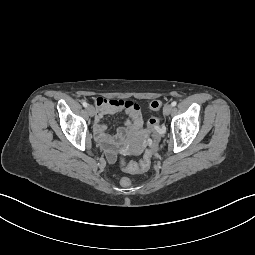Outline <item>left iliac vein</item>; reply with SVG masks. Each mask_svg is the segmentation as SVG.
I'll return each mask as SVG.
<instances>
[{
    "instance_id": "4c4485c4",
    "label": "left iliac vein",
    "mask_w": 255,
    "mask_h": 255,
    "mask_svg": "<svg viewBox=\"0 0 255 255\" xmlns=\"http://www.w3.org/2000/svg\"><path fill=\"white\" fill-rule=\"evenodd\" d=\"M173 106L171 104H166L163 108V114L165 116L169 115L172 112Z\"/></svg>"
}]
</instances>
